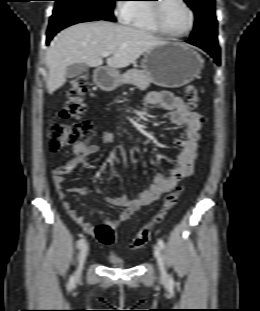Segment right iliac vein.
<instances>
[{
  "label": "right iliac vein",
  "instance_id": "obj_1",
  "mask_svg": "<svg viewBox=\"0 0 260 311\" xmlns=\"http://www.w3.org/2000/svg\"><path fill=\"white\" fill-rule=\"evenodd\" d=\"M87 255H88V245L87 244H84L82 247H81V250H80V254H79V259H78V268H77V271H76V275L79 277L82 273V269H83V266H84V263H85V260L87 258Z\"/></svg>",
  "mask_w": 260,
  "mask_h": 311
}]
</instances>
